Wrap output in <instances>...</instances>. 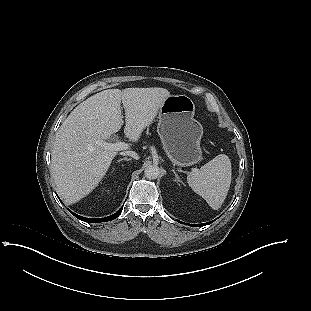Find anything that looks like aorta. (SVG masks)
I'll list each match as a JSON object with an SVG mask.
<instances>
[{
  "instance_id": "762f6f07",
  "label": "aorta",
  "mask_w": 311,
  "mask_h": 311,
  "mask_svg": "<svg viewBox=\"0 0 311 311\" xmlns=\"http://www.w3.org/2000/svg\"><path fill=\"white\" fill-rule=\"evenodd\" d=\"M144 175L150 180L157 179L160 175V169L157 165H148L144 170Z\"/></svg>"
}]
</instances>
